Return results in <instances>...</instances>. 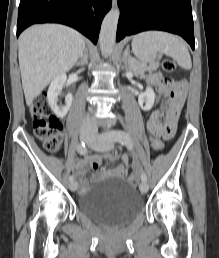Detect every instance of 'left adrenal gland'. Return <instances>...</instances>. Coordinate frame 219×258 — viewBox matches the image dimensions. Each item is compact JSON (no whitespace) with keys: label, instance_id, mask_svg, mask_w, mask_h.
I'll return each instance as SVG.
<instances>
[{"label":"left adrenal gland","instance_id":"1","mask_svg":"<svg viewBox=\"0 0 219 258\" xmlns=\"http://www.w3.org/2000/svg\"><path fill=\"white\" fill-rule=\"evenodd\" d=\"M129 56H130V51H129V46H128L122 57V61L126 68L128 67V64H129Z\"/></svg>","mask_w":219,"mask_h":258}]
</instances>
